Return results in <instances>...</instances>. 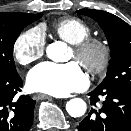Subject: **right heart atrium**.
Listing matches in <instances>:
<instances>
[{"mask_svg":"<svg viewBox=\"0 0 131 131\" xmlns=\"http://www.w3.org/2000/svg\"><path fill=\"white\" fill-rule=\"evenodd\" d=\"M45 34L41 27L36 26L21 33L13 43V54L16 61L27 66L45 53Z\"/></svg>","mask_w":131,"mask_h":131,"instance_id":"right-heart-atrium-1","label":"right heart atrium"}]
</instances>
